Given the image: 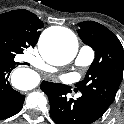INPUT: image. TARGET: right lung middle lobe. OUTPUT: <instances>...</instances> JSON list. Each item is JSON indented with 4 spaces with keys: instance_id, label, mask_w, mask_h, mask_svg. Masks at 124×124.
Returning <instances> with one entry per match:
<instances>
[{
    "instance_id": "dd1d6c3e",
    "label": "right lung middle lobe",
    "mask_w": 124,
    "mask_h": 124,
    "mask_svg": "<svg viewBox=\"0 0 124 124\" xmlns=\"http://www.w3.org/2000/svg\"><path fill=\"white\" fill-rule=\"evenodd\" d=\"M25 48L27 46L18 34L0 25V60L12 62L16 54L23 53Z\"/></svg>"
}]
</instances>
